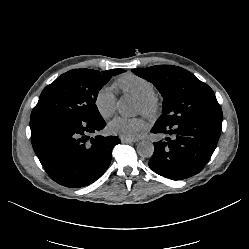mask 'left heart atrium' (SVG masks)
I'll return each instance as SVG.
<instances>
[{
  "instance_id": "39dd6f15",
  "label": "left heart atrium",
  "mask_w": 249,
  "mask_h": 249,
  "mask_svg": "<svg viewBox=\"0 0 249 249\" xmlns=\"http://www.w3.org/2000/svg\"><path fill=\"white\" fill-rule=\"evenodd\" d=\"M144 120L140 117H126L118 115L108 124V130L111 134L121 137H137L144 129Z\"/></svg>"
}]
</instances>
